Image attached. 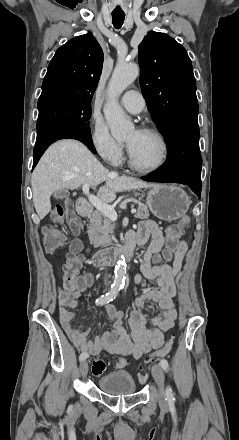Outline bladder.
Here are the masks:
<instances>
[{"mask_svg": "<svg viewBox=\"0 0 239 440\" xmlns=\"http://www.w3.org/2000/svg\"><path fill=\"white\" fill-rule=\"evenodd\" d=\"M99 389L109 395H129L137 390L134 378L126 371H115L98 380Z\"/></svg>", "mask_w": 239, "mask_h": 440, "instance_id": "31cf9c89", "label": "bladder"}]
</instances>
